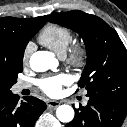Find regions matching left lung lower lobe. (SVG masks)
Returning <instances> with one entry per match:
<instances>
[{"label": "left lung lower lobe", "mask_w": 127, "mask_h": 127, "mask_svg": "<svg viewBox=\"0 0 127 127\" xmlns=\"http://www.w3.org/2000/svg\"><path fill=\"white\" fill-rule=\"evenodd\" d=\"M87 96V106L75 109L66 127H121L127 114V93L101 90Z\"/></svg>", "instance_id": "left-lung-lower-lobe-1"}]
</instances>
